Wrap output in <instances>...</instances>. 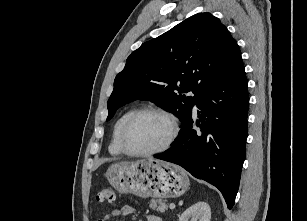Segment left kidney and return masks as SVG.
<instances>
[{"label":"left kidney","mask_w":307,"mask_h":221,"mask_svg":"<svg viewBox=\"0 0 307 221\" xmlns=\"http://www.w3.org/2000/svg\"><path fill=\"white\" fill-rule=\"evenodd\" d=\"M210 206L203 201H199L185 210L179 217V221H210Z\"/></svg>","instance_id":"1"}]
</instances>
